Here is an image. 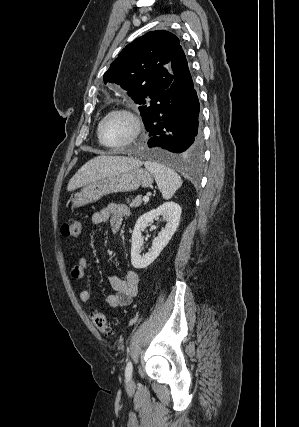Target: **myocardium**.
Returning a JSON list of instances; mask_svg holds the SVG:
<instances>
[{
    "mask_svg": "<svg viewBox=\"0 0 299 427\" xmlns=\"http://www.w3.org/2000/svg\"><path fill=\"white\" fill-rule=\"evenodd\" d=\"M114 114H122V115L126 116L130 120V122L132 124V128H133L132 134L129 137V139L126 140L125 142H123L121 144H117V145L107 144L101 138V128H102L103 123L105 122V120L107 118H109L110 116H112ZM142 127H143L142 121H141L139 115L135 111H133L130 108L119 107V108H115V109L110 110L109 112H107L102 117V119L100 120V122L98 123V126H97V138H98L99 143L106 148L120 149V148H124V147L132 144L133 142H135L136 139L140 136V134L142 132Z\"/></svg>",
    "mask_w": 299,
    "mask_h": 427,
    "instance_id": "obj_1",
    "label": "myocardium"
}]
</instances>
